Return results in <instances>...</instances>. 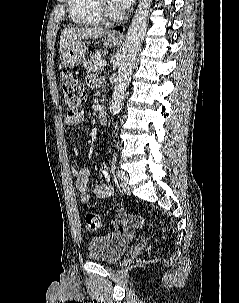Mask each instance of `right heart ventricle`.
Listing matches in <instances>:
<instances>
[{
  "instance_id": "obj_1",
  "label": "right heart ventricle",
  "mask_w": 239,
  "mask_h": 303,
  "mask_svg": "<svg viewBox=\"0 0 239 303\" xmlns=\"http://www.w3.org/2000/svg\"><path fill=\"white\" fill-rule=\"evenodd\" d=\"M71 20L77 25L89 26L101 23L102 17L93 0H67Z\"/></svg>"
}]
</instances>
